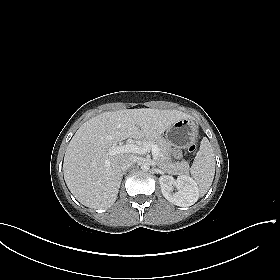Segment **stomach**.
Here are the masks:
<instances>
[{
  "mask_svg": "<svg viewBox=\"0 0 280 280\" xmlns=\"http://www.w3.org/2000/svg\"><path fill=\"white\" fill-rule=\"evenodd\" d=\"M198 128L191 119H181L166 130V139L169 144L187 148L197 139Z\"/></svg>",
  "mask_w": 280,
  "mask_h": 280,
  "instance_id": "obj_1",
  "label": "stomach"
}]
</instances>
